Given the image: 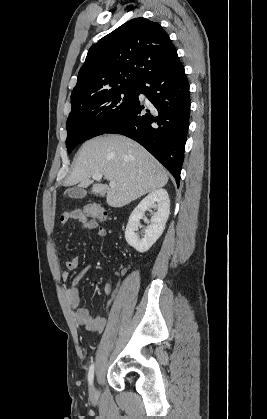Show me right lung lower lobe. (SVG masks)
<instances>
[{
	"label": "right lung lower lobe",
	"mask_w": 267,
	"mask_h": 419,
	"mask_svg": "<svg viewBox=\"0 0 267 419\" xmlns=\"http://www.w3.org/2000/svg\"><path fill=\"white\" fill-rule=\"evenodd\" d=\"M151 102L139 98L105 133H117L145 147L175 177L179 185L190 118L189 83L180 60L150 74L139 86Z\"/></svg>",
	"instance_id": "1"
}]
</instances>
